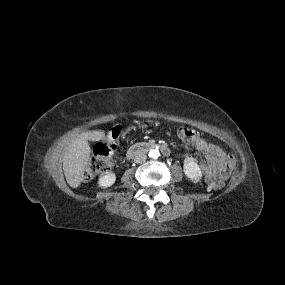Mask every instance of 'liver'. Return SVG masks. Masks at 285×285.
Returning <instances> with one entry per match:
<instances>
[{
  "label": "liver",
  "mask_w": 285,
  "mask_h": 285,
  "mask_svg": "<svg viewBox=\"0 0 285 285\" xmlns=\"http://www.w3.org/2000/svg\"><path fill=\"white\" fill-rule=\"evenodd\" d=\"M103 131L81 133L68 147L63 161V170L67 183L77 188L84 179V170L88 164L91 149L88 140L98 141L104 137Z\"/></svg>",
  "instance_id": "1"
}]
</instances>
